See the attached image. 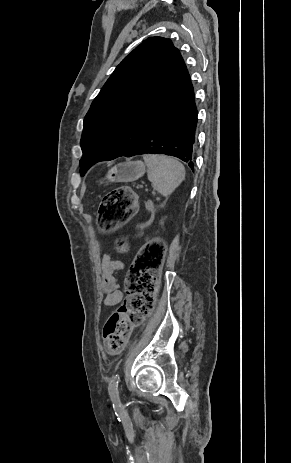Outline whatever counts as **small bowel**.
I'll return each instance as SVG.
<instances>
[{
	"mask_svg": "<svg viewBox=\"0 0 291 463\" xmlns=\"http://www.w3.org/2000/svg\"><path fill=\"white\" fill-rule=\"evenodd\" d=\"M124 269V263L105 255L102 260L100 276L101 285L105 293L104 305L114 306L123 298V291L115 274Z\"/></svg>",
	"mask_w": 291,
	"mask_h": 463,
	"instance_id": "small-bowel-1",
	"label": "small bowel"
}]
</instances>
